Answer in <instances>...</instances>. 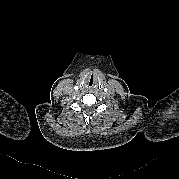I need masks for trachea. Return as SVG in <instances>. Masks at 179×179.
Listing matches in <instances>:
<instances>
[{
    "label": "trachea",
    "instance_id": "trachea-1",
    "mask_svg": "<svg viewBox=\"0 0 179 179\" xmlns=\"http://www.w3.org/2000/svg\"><path fill=\"white\" fill-rule=\"evenodd\" d=\"M97 82V77L95 75H90L87 79V84L89 86H94Z\"/></svg>",
    "mask_w": 179,
    "mask_h": 179
}]
</instances>
